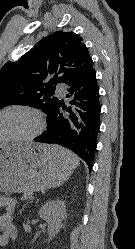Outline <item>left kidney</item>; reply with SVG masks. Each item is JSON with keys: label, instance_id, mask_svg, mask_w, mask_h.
<instances>
[{"label": "left kidney", "instance_id": "1", "mask_svg": "<svg viewBox=\"0 0 135 249\" xmlns=\"http://www.w3.org/2000/svg\"><path fill=\"white\" fill-rule=\"evenodd\" d=\"M39 216L48 223V235L51 239L62 228V222L67 217L66 205L62 200L46 202L39 210Z\"/></svg>", "mask_w": 135, "mask_h": 249}]
</instances>
